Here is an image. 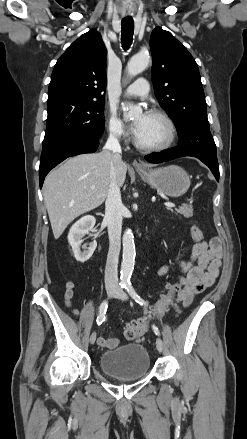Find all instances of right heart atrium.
<instances>
[{
	"mask_svg": "<svg viewBox=\"0 0 247 439\" xmlns=\"http://www.w3.org/2000/svg\"><path fill=\"white\" fill-rule=\"evenodd\" d=\"M108 135L116 140H126L128 133L126 128L115 112H110L107 119Z\"/></svg>",
	"mask_w": 247,
	"mask_h": 439,
	"instance_id": "right-heart-atrium-1",
	"label": "right heart atrium"
}]
</instances>
